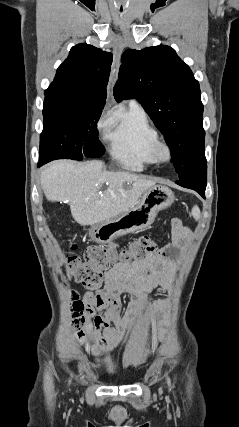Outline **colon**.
<instances>
[{"label": "colon", "instance_id": "5ec220e1", "mask_svg": "<svg viewBox=\"0 0 239 427\" xmlns=\"http://www.w3.org/2000/svg\"><path fill=\"white\" fill-rule=\"evenodd\" d=\"M155 243L149 236H141L132 241L126 249L118 250L114 245L89 247L83 260L76 254L67 258L66 272L69 278L82 283L89 289H97L102 284V274L114 263H127L154 252ZM72 326L78 339L83 336L86 325L87 305L78 296H72Z\"/></svg>", "mask_w": 239, "mask_h": 427}]
</instances>
